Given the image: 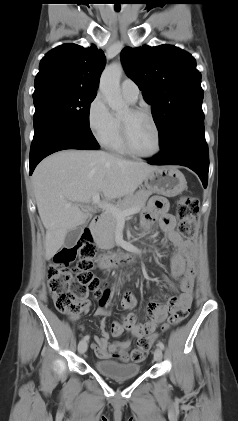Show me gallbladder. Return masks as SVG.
Wrapping results in <instances>:
<instances>
[{"label": "gallbladder", "mask_w": 238, "mask_h": 421, "mask_svg": "<svg viewBox=\"0 0 238 421\" xmlns=\"http://www.w3.org/2000/svg\"><path fill=\"white\" fill-rule=\"evenodd\" d=\"M82 231L83 226H78L75 229L69 231L65 237L64 245L67 248H72L80 238Z\"/></svg>", "instance_id": "bac80fb5"}]
</instances>
